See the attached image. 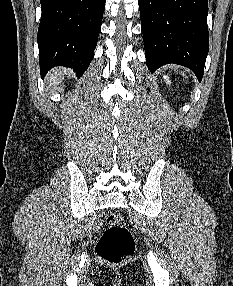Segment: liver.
Instances as JSON below:
<instances>
[{
    "mask_svg": "<svg viewBox=\"0 0 233 286\" xmlns=\"http://www.w3.org/2000/svg\"><path fill=\"white\" fill-rule=\"evenodd\" d=\"M47 83L50 85H58L62 80H64V71L54 69L50 71L47 75Z\"/></svg>",
    "mask_w": 233,
    "mask_h": 286,
    "instance_id": "obj_1",
    "label": "liver"
}]
</instances>
